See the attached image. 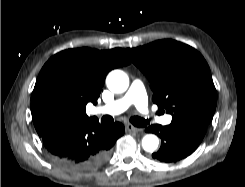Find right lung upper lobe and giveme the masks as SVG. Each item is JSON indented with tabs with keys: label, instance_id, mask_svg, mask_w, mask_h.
Masks as SVG:
<instances>
[{
	"label": "right lung upper lobe",
	"instance_id": "1",
	"mask_svg": "<svg viewBox=\"0 0 245 187\" xmlns=\"http://www.w3.org/2000/svg\"><path fill=\"white\" fill-rule=\"evenodd\" d=\"M130 64L121 48L99 51L68 49L52 56L41 69L31 95V113L40 137L54 128L83 123L88 102L97 104L107 73ZM54 97L57 104L49 100Z\"/></svg>",
	"mask_w": 245,
	"mask_h": 187
}]
</instances>
